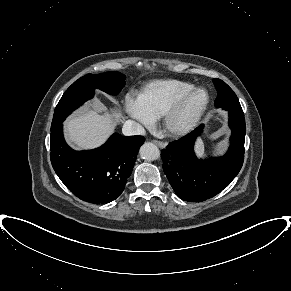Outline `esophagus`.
Wrapping results in <instances>:
<instances>
[{"instance_id": "1", "label": "esophagus", "mask_w": 291, "mask_h": 291, "mask_svg": "<svg viewBox=\"0 0 291 291\" xmlns=\"http://www.w3.org/2000/svg\"><path fill=\"white\" fill-rule=\"evenodd\" d=\"M155 145L161 147V148H165L166 147V143L162 142V141H158V140H153L152 141Z\"/></svg>"}]
</instances>
